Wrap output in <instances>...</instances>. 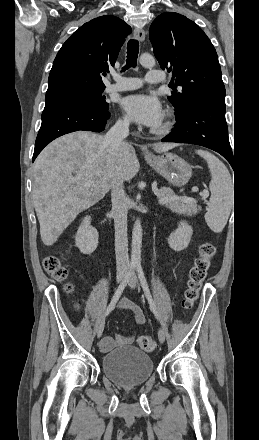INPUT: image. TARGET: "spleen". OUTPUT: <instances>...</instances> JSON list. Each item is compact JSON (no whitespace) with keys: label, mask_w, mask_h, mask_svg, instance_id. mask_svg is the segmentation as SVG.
I'll return each instance as SVG.
<instances>
[{"label":"spleen","mask_w":259,"mask_h":440,"mask_svg":"<svg viewBox=\"0 0 259 440\" xmlns=\"http://www.w3.org/2000/svg\"><path fill=\"white\" fill-rule=\"evenodd\" d=\"M198 155L203 157L211 173L209 188L211 197L205 214V220L210 229L220 233L225 227L233 201V185L231 175L222 161L208 151L197 150Z\"/></svg>","instance_id":"1"}]
</instances>
